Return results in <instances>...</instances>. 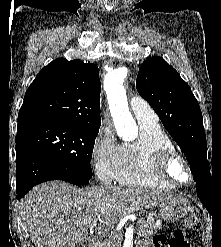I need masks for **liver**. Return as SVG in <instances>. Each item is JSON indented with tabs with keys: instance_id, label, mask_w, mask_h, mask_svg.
Listing matches in <instances>:
<instances>
[{
	"instance_id": "obj_1",
	"label": "liver",
	"mask_w": 221,
	"mask_h": 247,
	"mask_svg": "<svg viewBox=\"0 0 221 247\" xmlns=\"http://www.w3.org/2000/svg\"><path fill=\"white\" fill-rule=\"evenodd\" d=\"M175 197L171 192L142 187L100 186L85 190L51 181L36 186L19 210L36 247H76L88 229L109 228L125 216Z\"/></svg>"
}]
</instances>
